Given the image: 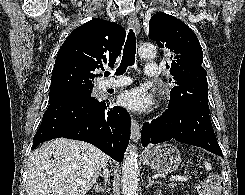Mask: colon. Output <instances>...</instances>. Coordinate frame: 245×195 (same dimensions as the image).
Returning <instances> with one entry per match:
<instances>
[{
	"instance_id": "5ec220e1",
	"label": "colon",
	"mask_w": 245,
	"mask_h": 195,
	"mask_svg": "<svg viewBox=\"0 0 245 195\" xmlns=\"http://www.w3.org/2000/svg\"><path fill=\"white\" fill-rule=\"evenodd\" d=\"M221 181L213 175H206L198 187L199 195H220Z\"/></svg>"
}]
</instances>
